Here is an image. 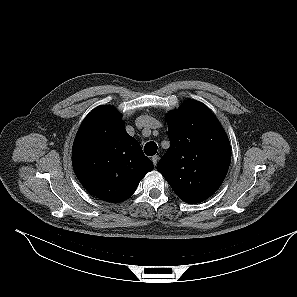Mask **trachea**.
I'll list each match as a JSON object with an SVG mask.
<instances>
[{
    "label": "trachea",
    "instance_id": "3493384b",
    "mask_svg": "<svg viewBox=\"0 0 297 297\" xmlns=\"http://www.w3.org/2000/svg\"><path fill=\"white\" fill-rule=\"evenodd\" d=\"M145 154L148 156H153L157 152V144L153 141L146 143L145 147Z\"/></svg>",
    "mask_w": 297,
    "mask_h": 297
}]
</instances>
